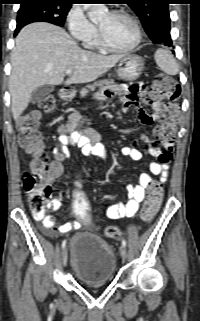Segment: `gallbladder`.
<instances>
[{
  "label": "gallbladder",
  "instance_id": "bac80fb5",
  "mask_svg": "<svg viewBox=\"0 0 200 321\" xmlns=\"http://www.w3.org/2000/svg\"><path fill=\"white\" fill-rule=\"evenodd\" d=\"M53 90H54V86L52 85H43L36 88L31 94L30 102L32 104H37L41 102Z\"/></svg>",
  "mask_w": 200,
  "mask_h": 321
}]
</instances>
